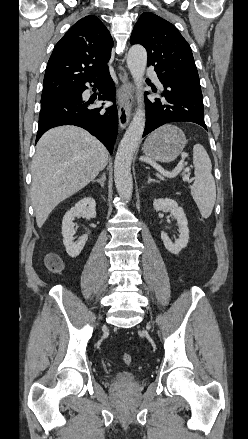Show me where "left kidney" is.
I'll list each match as a JSON object with an SVG mask.
<instances>
[{
    "label": "left kidney",
    "instance_id": "1",
    "mask_svg": "<svg viewBox=\"0 0 248 439\" xmlns=\"http://www.w3.org/2000/svg\"><path fill=\"white\" fill-rule=\"evenodd\" d=\"M154 209L163 212H170L176 219L178 224L179 238L173 243L167 233L161 232V239L165 248L172 254H179V252L185 248L189 240L188 221L184 213L183 208L179 207L177 202L170 198L155 199L153 202Z\"/></svg>",
    "mask_w": 248,
    "mask_h": 439
}]
</instances>
